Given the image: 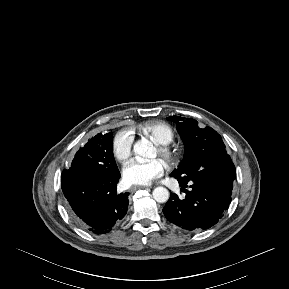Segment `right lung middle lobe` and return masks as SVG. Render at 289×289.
Returning <instances> with one entry per match:
<instances>
[{
	"mask_svg": "<svg viewBox=\"0 0 289 289\" xmlns=\"http://www.w3.org/2000/svg\"><path fill=\"white\" fill-rule=\"evenodd\" d=\"M113 134L98 133L76 152L71 168L80 174L104 175L117 169L113 155Z\"/></svg>",
	"mask_w": 289,
	"mask_h": 289,
	"instance_id": "obj_1",
	"label": "right lung middle lobe"
}]
</instances>
